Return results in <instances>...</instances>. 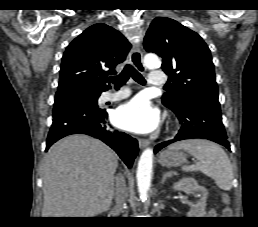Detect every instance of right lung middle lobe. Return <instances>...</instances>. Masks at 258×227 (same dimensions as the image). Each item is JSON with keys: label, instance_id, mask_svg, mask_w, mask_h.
I'll return each instance as SVG.
<instances>
[{"label": "right lung middle lobe", "instance_id": "1", "mask_svg": "<svg viewBox=\"0 0 258 227\" xmlns=\"http://www.w3.org/2000/svg\"><path fill=\"white\" fill-rule=\"evenodd\" d=\"M101 92L83 89V88H73L60 92H56L54 104L68 100V99H79L86 104L90 105L92 108H99L97 105V99Z\"/></svg>", "mask_w": 258, "mask_h": 227}]
</instances>
